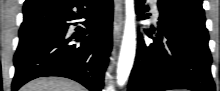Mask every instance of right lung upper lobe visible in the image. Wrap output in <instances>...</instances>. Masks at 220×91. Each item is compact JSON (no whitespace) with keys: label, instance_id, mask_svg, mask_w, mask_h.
<instances>
[{"label":"right lung upper lobe","instance_id":"cb5924a9","mask_svg":"<svg viewBox=\"0 0 220 91\" xmlns=\"http://www.w3.org/2000/svg\"><path fill=\"white\" fill-rule=\"evenodd\" d=\"M27 1H29V0H26L25 2H27ZM36 1H38L36 5H33L31 7L24 6L23 11L28 10V9H32V8H35V7H39V6H42V5L51 4V3L55 2L56 0H36Z\"/></svg>","mask_w":220,"mask_h":91}]
</instances>
